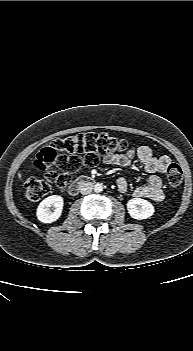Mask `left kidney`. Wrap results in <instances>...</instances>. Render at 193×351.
I'll return each instance as SVG.
<instances>
[{"mask_svg":"<svg viewBox=\"0 0 193 351\" xmlns=\"http://www.w3.org/2000/svg\"><path fill=\"white\" fill-rule=\"evenodd\" d=\"M129 215L137 220H143L151 217L154 213V206L147 200L141 198H132L127 202Z\"/></svg>","mask_w":193,"mask_h":351,"instance_id":"5707ae66","label":"left kidney"}]
</instances>
